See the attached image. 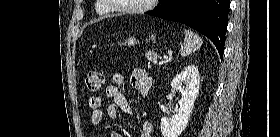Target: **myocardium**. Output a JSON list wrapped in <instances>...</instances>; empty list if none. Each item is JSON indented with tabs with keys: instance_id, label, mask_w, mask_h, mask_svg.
I'll use <instances>...</instances> for the list:
<instances>
[{
	"instance_id": "f54148a6",
	"label": "myocardium",
	"mask_w": 280,
	"mask_h": 137,
	"mask_svg": "<svg viewBox=\"0 0 280 137\" xmlns=\"http://www.w3.org/2000/svg\"><path fill=\"white\" fill-rule=\"evenodd\" d=\"M156 2V0H144V3L139 6H132V7H126L118 9L117 11L123 13V14H138L145 12L149 10L153 4ZM111 8H115L114 5H109Z\"/></svg>"
}]
</instances>
